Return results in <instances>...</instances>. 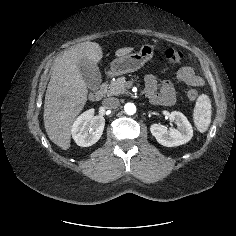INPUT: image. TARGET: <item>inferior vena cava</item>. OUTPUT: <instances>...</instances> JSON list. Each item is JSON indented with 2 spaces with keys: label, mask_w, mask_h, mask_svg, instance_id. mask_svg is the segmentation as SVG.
Segmentation results:
<instances>
[{
  "label": "inferior vena cava",
  "mask_w": 236,
  "mask_h": 236,
  "mask_svg": "<svg viewBox=\"0 0 236 236\" xmlns=\"http://www.w3.org/2000/svg\"><path fill=\"white\" fill-rule=\"evenodd\" d=\"M102 104L106 109H116L119 106V99L116 97H109L104 99Z\"/></svg>",
  "instance_id": "obj_1"
}]
</instances>
